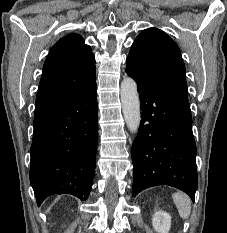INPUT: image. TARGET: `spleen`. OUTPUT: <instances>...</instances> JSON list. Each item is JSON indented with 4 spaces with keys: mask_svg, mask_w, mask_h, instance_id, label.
I'll return each mask as SVG.
<instances>
[{
    "mask_svg": "<svg viewBox=\"0 0 227 233\" xmlns=\"http://www.w3.org/2000/svg\"><path fill=\"white\" fill-rule=\"evenodd\" d=\"M172 197L181 218L184 220L188 219L191 213L190 198L183 192H176Z\"/></svg>",
    "mask_w": 227,
    "mask_h": 233,
    "instance_id": "obj_1",
    "label": "spleen"
}]
</instances>
